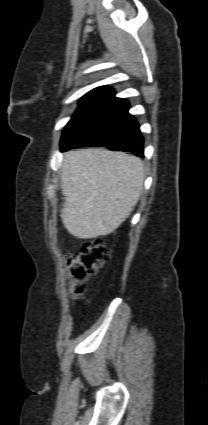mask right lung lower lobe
Here are the masks:
<instances>
[{"instance_id":"right-lung-lower-lobe-1","label":"right lung lower lobe","mask_w":208,"mask_h":425,"mask_svg":"<svg viewBox=\"0 0 208 425\" xmlns=\"http://www.w3.org/2000/svg\"><path fill=\"white\" fill-rule=\"evenodd\" d=\"M107 88L80 108L67 124L61 151L76 147H107L143 157V138L137 120L128 113L129 103Z\"/></svg>"}]
</instances>
